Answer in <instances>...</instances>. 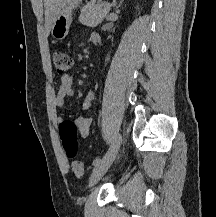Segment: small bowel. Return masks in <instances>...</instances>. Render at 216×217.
I'll use <instances>...</instances> for the list:
<instances>
[{
	"mask_svg": "<svg viewBox=\"0 0 216 217\" xmlns=\"http://www.w3.org/2000/svg\"><path fill=\"white\" fill-rule=\"evenodd\" d=\"M96 34H93L94 36ZM74 95L73 90V78L71 75L66 74L61 77V84L60 88L58 90V93L56 94L54 98V104L56 107H62L65 103V99L67 97H72ZM94 91L90 90L87 95L85 96L83 100V110H88L91 106V102L94 99ZM64 118L61 116L56 117V122L61 128L62 124L64 123ZM75 125L77 128V132L81 138H86L90 133V127H91V118L87 115H81L75 120Z\"/></svg>",
	"mask_w": 216,
	"mask_h": 217,
	"instance_id": "small-bowel-1",
	"label": "small bowel"
}]
</instances>
